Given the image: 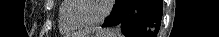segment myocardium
<instances>
[{
  "mask_svg": "<svg viewBox=\"0 0 219 37\" xmlns=\"http://www.w3.org/2000/svg\"><path fill=\"white\" fill-rule=\"evenodd\" d=\"M67 1L70 2L71 6L66 12V18L73 26L78 28H89L101 24L107 18L110 12L111 2H112L111 0H103L104 9L102 11V14L98 18L91 21L78 22L72 17L73 12L77 8V1L76 0H67Z\"/></svg>",
  "mask_w": 219,
  "mask_h": 37,
  "instance_id": "f54148a6",
  "label": "myocardium"
}]
</instances>
